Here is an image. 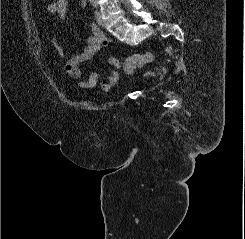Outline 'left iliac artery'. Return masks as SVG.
<instances>
[{"label": "left iliac artery", "instance_id": "obj_1", "mask_svg": "<svg viewBox=\"0 0 245 239\" xmlns=\"http://www.w3.org/2000/svg\"><path fill=\"white\" fill-rule=\"evenodd\" d=\"M97 3L96 1H93V6L96 7Z\"/></svg>", "mask_w": 245, "mask_h": 239}]
</instances>
